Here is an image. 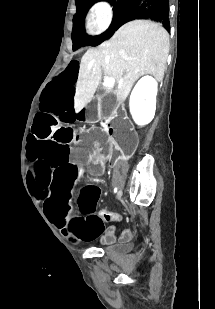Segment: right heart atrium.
<instances>
[{"mask_svg": "<svg viewBox=\"0 0 215 309\" xmlns=\"http://www.w3.org/2000/svg\"><path fill=\"white\" fill-rule=\"evenodd\" d=\"M106 2V0H103ZM111 11L108 5H99L88 14V22L95 32H102L111 28Z\"/></svg>", "mask_w": 215, "mask_h": 309, "instance_id": "d8ad5b80", "label": "right heart atrium"}]
</instances>
